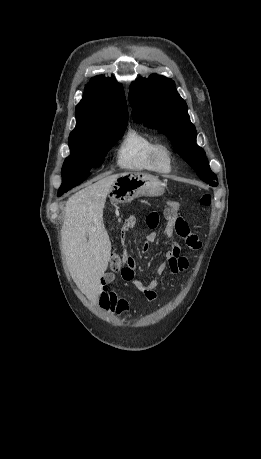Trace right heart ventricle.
Returning a JSON list of instances; mask_svg holds the SVG:
<instances>
[{"instance_id": "obj_1", "label": "right heart ventricle", "mask_w": 261, "mask_h": 459, "mask_svg": "<svg viewBox=\"0 0 261 459\" xmlns=\"http://www.w3.org/2000/svg\"><path fill=\"white\" fill-rule=\"evenodd\" d=\"M158 142L150 134L140 130H130L120 142L116 161L126 170H146L156 172L152 162V152Z\"/></svg>"}]
</instances>
